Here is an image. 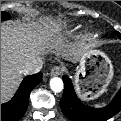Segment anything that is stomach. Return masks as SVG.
Listing matches in <instances>:
<instances>
[{"label":"stomach","mask_w":121,"mask_h":121,"mask_svg":"<svg viewBox=\"0 0 121 121\" xmlns=\"http://www.w3.org/2000/svg\"><path fill=\"white\" fill-rule=\"evenodd\" d=\"M110 59L100 51H93L81 59L75 74V83L81 85L79 95L83 100H93L106 91L113 78Z\"/></svg>","instance_id":"obj_1"}]
</instances>
